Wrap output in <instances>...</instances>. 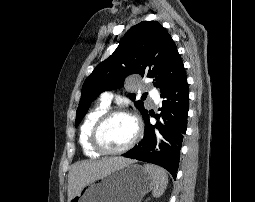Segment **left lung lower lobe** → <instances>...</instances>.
I'll return each instance as SVG.
<instances>
[{
  "label": "left lung lower lobe",
  "instance_id": "obj_1",
  "mask_svg": "<svg viewBox=\"0 0 255 202\" xmlns=\"http://www.w3.org/2000/svg\"><path fill=\"white\" fill-rule=\"evenodd\" d=\"M161 113L157 123L150 124L148 112L143 116V139L124 157L159 165L176 178L183 136L187 130L189 89L185 71L168 89L161 92Z\"/></svg>",
  "mask_w": 255,
  "mask_h": 202
}]
</instances>
